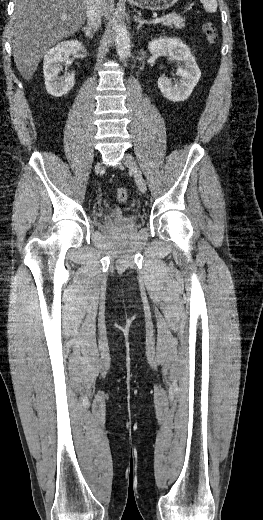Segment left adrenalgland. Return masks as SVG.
Listing matches in <instances>:
<instances>
[{
    "label": "left adrenal gland",
    "mask_w": 263,
    "mask_h": 520,
    "mask_svg": "<svg viewBox=\"0 0 263 520\" xmlns=\"http://www.w3.org/2000/svg\"><path fill=\"white\" fill-rule=\"evenodd\" d=\"M134 21L137 23V30H139L144 24H150V22L143 20L140 16H134Z\"/></svg>",
    "instance_id": "a2214340"
}]
</instances>
